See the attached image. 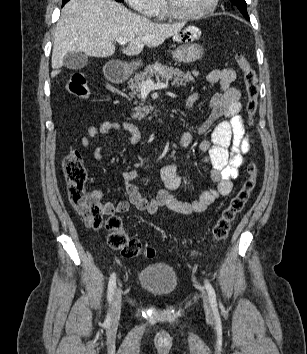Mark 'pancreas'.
Returning a JSON list of instances; mask_svg holds the SVG:
<instances>
[{"mask_svg": "<svg viewBox=\"0 0 307 354\" xmlns=\"http://www.w3.org/2000/svg\"><path fill=\"white\" fill-rule=\"evenodd\" d=\"M200 73L196 70L192 72L181 71L177 68L168 67L166 65H162L160 63H155L153 65L147 66L144 72L136 74L133 78L128 82L129 88L131 90L130 97L133 98L137 96L140 98L141 85L142 82L147 80L155 79H165L166 82H171L172 86H181L186 85L187 82L194 81L195 76H199ZM137 104V101L134 102ZM142 104L135 107L133 110L135 111L131 117L133 119H142L149 113L148 107H141Z\"/></svg>", "mask_w": 307, "mask_h": 354, "instance_id": "pancreas-1", "label": "pancreas"}]
</instances>
